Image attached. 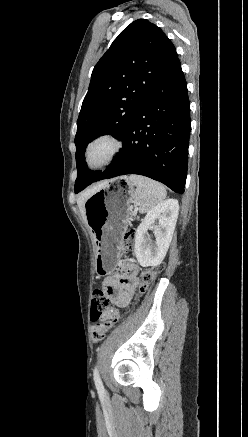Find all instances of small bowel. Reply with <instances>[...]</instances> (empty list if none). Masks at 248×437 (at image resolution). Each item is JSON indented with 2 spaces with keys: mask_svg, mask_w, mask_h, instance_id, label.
<instances>
[{
  "mask_svg": "<svg viewBox=\"0 0 248 437\" xmlns=\"http://www.w3.org/2000/svg\"><path fill=\"white\" fill-rule=\"evenodd\" d=\"M138 271V265L129 260L103 281V289L117 307L124 308L130 304L139 283Z\"/></svg>",
  "mask_w": 248,
  "mask_h": 437,
  "instance_id": "c3829d8e",
  "label": "small bowel"
}]
</instances>
